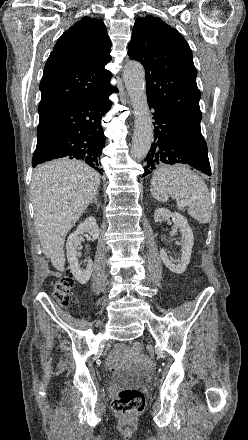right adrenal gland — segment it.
<instances>
[{"mask_svg": "<svg viewBox=\"0 0 248 440\" xmlns=\"http://www.w3.org/2000/svg\"><path fill=\"white\" fill-rule=\"evenodd\" d=\"M91 203H95L97 208H99V204L97 202V194L94 196V199L91 201Z\"/></svg>", "mask_w": 248, "mask_h": 440, "instance_id": "right-adrenal-gland-1", "label": "right adrenal gland"}]
</instances>
